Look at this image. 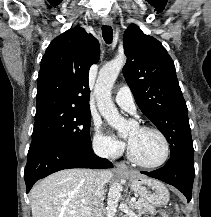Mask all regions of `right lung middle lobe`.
<instances>
[{"instance_id":"1","label":"right lung middle lobe","mask_w":211,"mask_h":217,"mask_svg":"<svg viewBox=\"0 0 211 217\" xmlns=\"http://www.w3.org/2000/svg\"><path fill=\"white\" fill-rule=\"evenodd\" d=\"M90 111L49 113L35 118L32 142L54 141L79 149L90 148Z\"/></svg>"}]
</instances>
